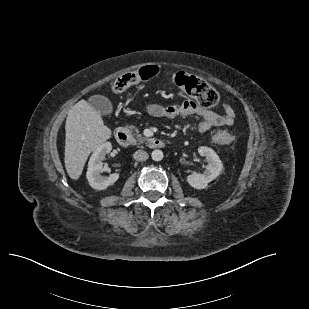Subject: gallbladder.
<instances>
[{"label": "gallbladder", "mask_w": 309, "mask_h": 309, "mask_svg": "<svg viewBox=\"0 0 309 309\" xmlns=\"http://www.w3.org/2000/svg\"><path fill=\"white\" fill-rule=\"evenodd\" d=\"M89 104L99 113L108 115L112 113L113 106L108 98L102 95H93L89 98Z\"/></svg>", "instance_id": "gallbladder-1"}]
</instances>
